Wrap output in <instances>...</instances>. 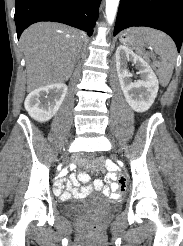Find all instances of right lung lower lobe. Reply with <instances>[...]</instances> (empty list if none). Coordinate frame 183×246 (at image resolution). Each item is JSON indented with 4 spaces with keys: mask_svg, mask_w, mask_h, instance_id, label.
<instances>
[{
    "mask_svg": "<svg viewBox=\"0 0 183 246\" xmlns=\"http://www.w3.org/2000/svg\"><path fill=\"white\" fill-rule=\"evenodd\" d=\"M100 2L101 0H16L14 19L18 39L28 26L40 21L64 23L91 36Z\"/></svg>",
    "mask_w": 183,
    "mask_h": 246,
    "instance_id": "98d812e1",
    "label": "right lung lower lobe"
}]
</instances>
